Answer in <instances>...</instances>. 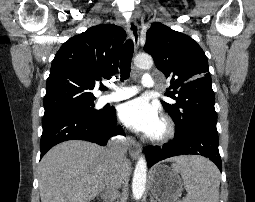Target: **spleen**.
Here are the masks:
<instances>
[{
    "label": "spleen",
    "mask_w": 255,
    "mask_h": 202,
    "mask_svg": "<svg viewBox=\"0 0 255 202\" xmlns=\"http://www.w3.org/2000/svg\"><path fill=\"white\" fill-rule=\"evenodd\" d=\"M181 174L187 191L182 202H219L220 173L208 159L200 156L184 157L172 164Z\"/></svg>",
    "instance_id": "obj_1"
}]
</instances>
